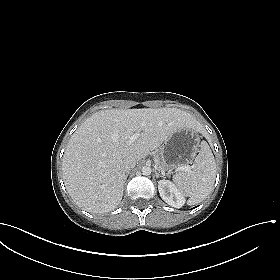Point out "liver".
<instances>
[{
	"label": "liver",
	"mask_w": 280,
	"mask_h": 280,
	"mask_svg": "<svg viewBox=\"0 0 280 280\" xmlns=\"http://www.w3.org/2000/svg\"><path fill=\"white\" fill-rule=\"evenodd\" d=\"M184 126L201 129L192 115L176 108L96 112L74 132L63 156V180L69 195L88 212L114 210L123 197V160L131 156L140 161ZM135 133L139 138L128 145Z\"/></svg>",
	"instance_id": "6515ba94"
}]
</instances>
